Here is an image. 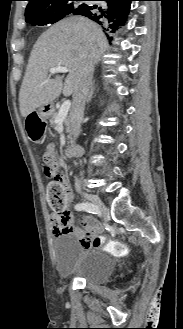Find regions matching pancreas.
I'll return each mask as SVG.
<instances>
[{
    "instance_id": "obj_1",
    "label": "pancreas",
    "mask_w": 183,
    "mask_h": 329,
    "mask_svg": "<svg viewBox=\"0 0 183 329\" xmlns=\"http://www.w3.org/2000/svg\"><path fill=\"white\" fill-rule=\"evenodd\" d=\"M57 115H58V112L53 113V115L51 116V119H50V125H54L55 124V119H56ZM64 125L66 127L67 132L68 133H71V123H70L69 117H67L64 120Z\"/></svg>"
}]
</instances>
